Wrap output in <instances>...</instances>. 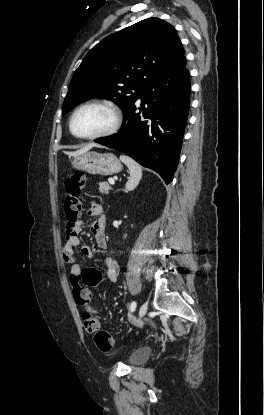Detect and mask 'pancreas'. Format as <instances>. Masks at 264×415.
Masks as SVG:
<instances>
[{
	"mask_svg": "<svg viewBox=\"0 0 264 415\" xmlns=\"http://www.w3.org/2000/svg\"><path fill=\"white\" fill-rule=\"evenodd\" d=\"M109 190H111V187L109 186V184L107 182H100L99 183V191L101 193L108 194Z\"/></svg>",
	"mask_w": 264,
	"mask_h": 415,
	"instance_id": "cf45deb5",
	"label": "pancreas"
}]
</instances>
